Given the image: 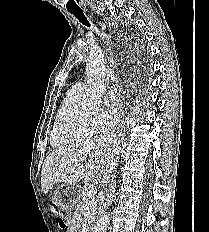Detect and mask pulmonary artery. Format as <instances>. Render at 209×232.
Segmentation results:
<instances>
[{
  "label": "pulmonary artery",
  "mask_w": 209,
  "mask_h": 232,
  "mask_svg": "<svg viewBox=\"0 0 209 232\" xmlns=\"http://www.w3.org/2000/svg\"><path fill=\"white\" fill-rule=\"evenodd\" d=\"M108 77H109V78H112V75L108 74ZM73 88H74L75 90H77V91L83 93L84 90H85V84H84L83 82H78V83H76V84L73 86Z\"/></svg>",
  "instance_id": "obj_1"
}]
</instances>
